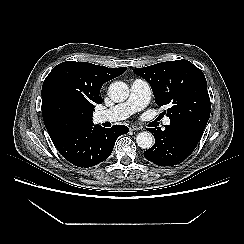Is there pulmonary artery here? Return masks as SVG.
<instances>
[{
  "instance_id": "e3ab8cb5",
  "label": "pulmonary artery",
  "mask_w": 244,
  "mask_h": 244,
  "mask_svg": "<svg viewBox=\"0 0 244 244\" xmlns=\"http://www.w3.org/2000/svg\"><path fill=\"white\" fill-rule=\"evenodd\" d=\"M151 87L143 79H135L130 86L128 99L109 109L100 111L96 114L98 122H114L128 118L137 111L144 109L151 99ZM170 119H164V125H169Z\"/></svg>"
}]
</instances>
